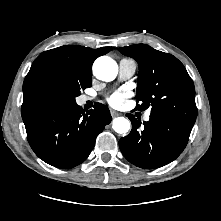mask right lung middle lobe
I'll list each match as a JSON object with an SVG mask.
<instances>
[{
    "label": "right lung middle lobe",
    "mask_w": 221,
    "mask_h": 221,
    "mask_svg": "<svg viewBox=\"0 0 221 221\" xmlns=\"http://www.w3.org/2000/svg\"><path fill=\"white\" fill-rule=\"evenodd\" d=\"M92 79L86 78H68L59 81L50 87V93L54 97L56 103L73 104L76 103L75 97L80 94V90L89 88Z\"/></svg>",
    "instance_id": "right-lung-middle-lobe-1"
}]
</instances>
